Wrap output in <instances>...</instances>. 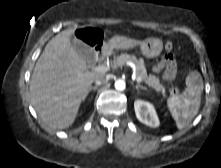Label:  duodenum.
I'll return each instance as SVG.
<instances>
[{
  "label": "duodenum",
  "mask_w": 221,
  "mask_h": 168,
  "mask_svg": "<svg viewBox=\"0 0 221 168\" xmlns=\"http://www.w3.org/2000/svg\"><path fill=\"white\" fill-rule=\"evenodd\" d=\"M105 53H106V47L103 43H97L94 46L93 54H94V58L97 61L103 59V57L105 56Z\"/></svg>",
  "instance_id": "1"
}]
</instances>
